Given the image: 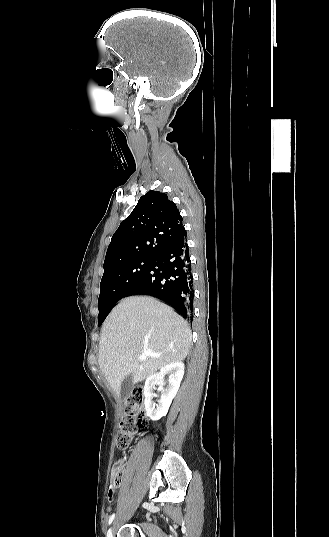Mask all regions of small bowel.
<instances>
[{"mask_svg": "<svg viewBox=\"0 0 329 537\" xmlns=\"http://www.w3.org/2000/svg\"><path fill=\"white\" fill-rule=\"evenodd\" d=\"M120 467H121V466H120L119 463L115 464V466H114V468H113V472H114L117 468H120Z\"/></svg>", "mask_w": 329, "mask_h": 537, "instance_id": "1", "label": "small bowel"}]
</instances>
